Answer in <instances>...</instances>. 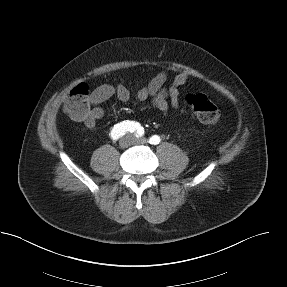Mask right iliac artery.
I'll return each instance as SVG.
<instances>
[{"instance_id":"1","label":"right iliac artery","mask_w":287,"mask_h":287,"mask_svg":"<svg viewBox=\"0 0 287 287\" xmlns=\"http://www.w3.org/2000/svg\"><path fill=\"white\" fill-rule=\"evenodd\" d=\"M136 131V136L141 137L144 134L143 127L140 126L139 123L134 121H123L114 125L111 130L110 136L113 140H117L127 132H134Z\"/></svg>"}]
</instances>
